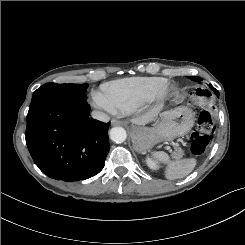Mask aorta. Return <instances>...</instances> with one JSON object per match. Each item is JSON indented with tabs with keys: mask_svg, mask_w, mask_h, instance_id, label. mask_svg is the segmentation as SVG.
<instances>
[{
	"mask_svg": "<svg viewBox=\"0 0 245 245\" xmlns=\"http://www.w3.org/2000/svg\"><path fill=\"white\" fill-rule=\"evenodd\" d=\"M127 138L126 130L122 127H113L110 130V139L116 143L124 142Z\"/></svg>",
	"mask_w": 245,
	"mask_h": 245,
	"instance_id": "762f6f07",
	"label": "aorta"
}]
</instances>
